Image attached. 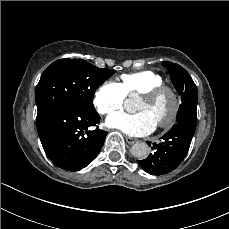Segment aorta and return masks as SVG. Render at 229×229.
Wrapping results in <instances>:
<instances>
[{"instance_id":"obj_1","label":"aorta","mask_w":229,"mask_h":229,"mask_svg":"<svg viewBox=\"0 0 229 229\" xmlns=\"http://www.w3.org/2000/svg\"><path fill=\"white\" fill-rule=\"evenodd\" d=\"M133 102L132 99H128L126 101V105H131ZM131 152L133 154L134 157L138 158V159H144L148 156L149 154V147L146 143L144 142H137L135 144H133L132 148H131Z\"/></svg>"}]
</instances>
